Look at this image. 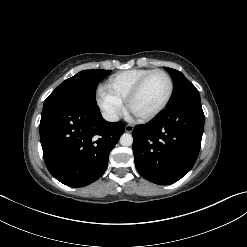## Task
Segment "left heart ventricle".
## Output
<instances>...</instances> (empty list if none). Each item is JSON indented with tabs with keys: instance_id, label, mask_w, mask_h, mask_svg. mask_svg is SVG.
Returning a JSON list of instances; mask_svg holds the SVG:
<instances>
[{
	"instance_id": "b2bd125f",
	"label": "left heart ventricle",
	"mask_w": 247,
	"mask_h": 247,
	"mask_svg": "<svg viewBox=\"0 0 247 247\" xmlns=\"http://www.w3.org/2000/svg\"><path fill=\"white\" fill-rule=\"evenodd\" d=\"M169 82L162 74L152 75L131 105L135 115H145L158 108L165 100Z\"/></svg>"
}]
</instances>
